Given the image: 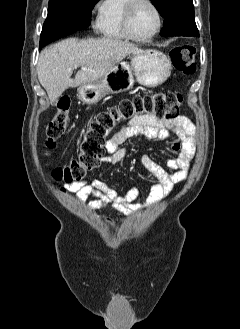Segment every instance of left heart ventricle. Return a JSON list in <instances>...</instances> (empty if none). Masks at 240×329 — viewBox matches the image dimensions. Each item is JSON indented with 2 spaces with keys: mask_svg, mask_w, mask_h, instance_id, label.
I'll return each mask as SVG.
<instances>
[{
  "mask_svg": "<svg viewBox=\"0 0 240 329\" xmlns=\"http://www.w3.org/2000/svg\"><path fill=\"white\" fill-rule=\"evenodd\" d=\"M157 25V18L154 10L145 3L138 4L131 17V29L140 37L150 35Z\"/></svg>",
  "mask_w": 240,
  "mask_h": 329,
  "instance_id": "obj_1",
  "label": "left heart ventricle"
}]
</instances>
